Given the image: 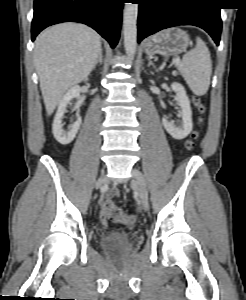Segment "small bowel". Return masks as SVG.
Here are the masks:
<instances>
[{"label":"small bowel","instance_id":"c3829d8e","mask_svg":"<svg viewBox=\"0 0 246 300\" xmlns=\"http://www.w3.org/2000/svg\"><path fill=\"white\" fill-rule=\"evenodd\" d=\"M117 193H118L117 190H112V191H111V194H112V195H116ZM100 218H101V221H102L103 223H106V222H107V219L104 217L102 211H101Z\"/></svg>","mask_w":246,"mask_h":300}]
</instances>
